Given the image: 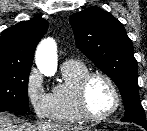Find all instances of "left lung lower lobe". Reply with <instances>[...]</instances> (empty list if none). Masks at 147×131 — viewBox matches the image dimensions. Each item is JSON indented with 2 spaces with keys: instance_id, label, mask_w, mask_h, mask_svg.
Returning a JSON list of instances; mask_svg holds the SVG:
<instances>
[{
  "instance_id": "0a47b994",
  "label": "left lung lower lobe",
  "mask_w": 147,
  "mask_h": 131,
  "mask_svg": "<svg viewBox=\"0 0 147 131\" xmlns=\"http://www.w3.org/2000/svg\"><path fill=\"white\" fill-rule=\"evenodd\" d=\"M147 130V124H139Z\"/></svg>"
}]
</instances>
